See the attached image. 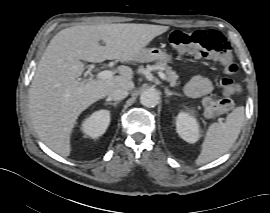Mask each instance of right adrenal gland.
I'll return each mask as SVG.
<instances>
[{"instance_id":"right-adrenal-gland-1","label":"right adrenal gland","mask_w":270,"mask_h":213,"mask_svg":"<svg viewBox=\"0 0 270 213\" xmlns=\"http://www.w3.org/2000/svg\"><path fill=\"white\" fill-rule=\"evenodd\" d=\"M106 105H113L114 107L119 104V101L110 102L108 99L105 100Z\"/></svg>"}]
</instances>
